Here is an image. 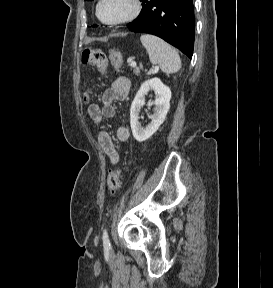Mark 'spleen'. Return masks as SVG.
I'll return each instance as SVG.
<instances>
[{"label": "spleen", "mask_w": 273, "mask_h": 288, "mask_svg": "<svg viewBox=\"0 0 273 288\" xmlns=\"http://www.w3.org/2000/svg\"><path fill=\"white\" fill-rule=\"evenodd\" d=\"M140 40L148 52L150 61L158 64L163 72L175 73L180 69L181 60L177 51L163 39L144 34Z\"/></svg>", "instance_id": "3e777b00"}]
</instances>
